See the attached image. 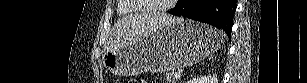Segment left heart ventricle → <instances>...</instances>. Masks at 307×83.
<instances>
[{
	"label": "left heart ventricle",
	"instance_id": "1",
	"mask_svg": "<svg viewBox=\"0 0 307 83\" xmlns=\"http://www.w3.org/2000/svg\"><path fill=\"white\" fill-rule=\"evenodd\" d=\"M147 9H156L164 6L169 0H141Z\"/></svg>",
	"mask_w": 307,
	"mask_h": 83
}]
</instances>
